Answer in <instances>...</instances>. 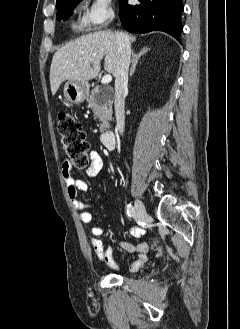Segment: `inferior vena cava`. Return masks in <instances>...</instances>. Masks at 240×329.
Wrapping results in <instances>:
<instances>
[{"label":"inferior vena cava","mask_w":240,"mask_h":329,"mask_svg":"<svg viewBox=\"0 0 240 329\" xmlns=\"http://www.w3.org/2000/svg\"><path fill=\"white\" fill-rule=\"evenodd\" d=\"M118 46V64L115 74V116L116 130L123 134L125 127V97L128 93V70L130 65L131 44L124 33H115Z\"/></svg>","instance_id":"inferior-vena-cava-1"}]
</instances>
